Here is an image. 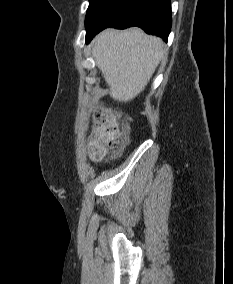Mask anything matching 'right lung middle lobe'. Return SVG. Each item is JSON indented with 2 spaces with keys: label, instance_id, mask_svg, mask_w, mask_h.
<instances>
[{
  "label": "right lung middle lobe",
  "instance_id": "right-lung-middle-lobe-1",
  "mask_svg": "<svg viewBox=\"0 0 233 284\" xmlns=\"http://www.w3.org/2000/svg\"><path fill=\"white\" fill-rule=\"evenodd\" d=\"M112 0H89L85 26L88 27Z\"/></svg>",
  "mask_w": 233,
  "mask_h": 284
}]
</instances>
